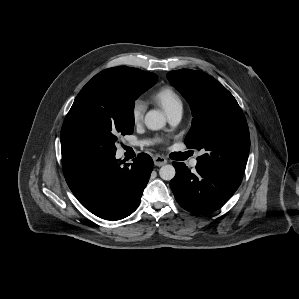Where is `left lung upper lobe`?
I'll return each instance as SVG.
<instances>
[{"label":"left lung upper lobe","mask_w":299,"mask_h":299,"mask_svg":"<svg viewBox=\"0 0 299 299\" xmlns=\"http://www.w3.org/2000/svg\"><path fill=\"white\" fill-rule=\"evenodd\" d=\"M167 78L189 103L192 126L184 143L202 150L197 163L243 176L250 135L233 95L212 76L195 70L170 71Z\"/></svg>","instance_id":"left-lung-upper-lobe-1"}]
</instances>
